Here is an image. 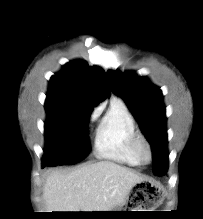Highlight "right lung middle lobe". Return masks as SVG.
Instances as JSON below:
<instances>
[{
	"mask_svg": "<svg viewBox=\"0 0 203 219\" xmlns=\"http://www.w3.org/2000/svg\"><path fill=\"white\" fill-rule=\"evenodd\" d=\"M45 109L43 165H71L83 160L90 151L87 125L93 108L76 100L47 94Z\"/></svg>",
	"mask_w": 203,
	"mask_h": 219,
	"instance_id": "obj_1",
	"label": "right lung middle lobe"
}]
</instances>
